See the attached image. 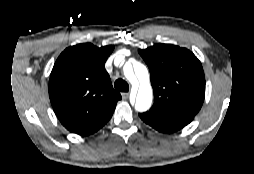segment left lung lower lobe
Returning a JSON list of instances; mask_svg holds the SVG:
<instances>
[{"instance_id": "left-lung-lower-lobe-1", "label": "left lung lower lobe", "mask_w": 254, "mask_h": 174, "mask_svg": "<svg viewBox=\"0 0 254 174\" xmlns=\"http://www.w3.org/2000/svg\"><path fill=\"white\" fill-rule=\"evenodd\" d=\"M139 116L145 123L162 133L176 132L193 120V117L175 115L156 108H151Z\"/></svg>"}]
</instances>
